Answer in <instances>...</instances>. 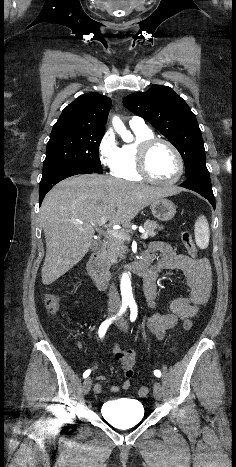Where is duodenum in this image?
<instances>
[{
  "label": "duodenum",
  "instance_id": "duodenum-1",
  "mask_svg": "<svg viewBox=\"0 0 236 467\" xmlns=\"http://www.w3.org/2000/svg\"><path fill=\"white\" fill-rule=\"evenodd\" d=\"M106 246L105 240L100 241L90 253L86 263L88 273L101 291L107 290L112 280V275L105 267L103 260ZM127 269L133 274L143 277L144 280H152L154 278L150 266L143 259L131 262Z\"/></svg>",
  "mask_w": 236,
  "mask_h": 467
}]
</instances>
